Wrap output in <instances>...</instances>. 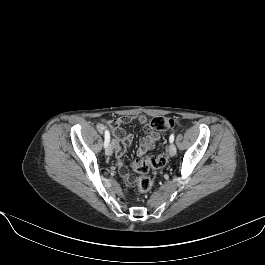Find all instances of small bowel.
<instances>
[{
	"instance_id": "1",
	"label": "small bowel",
	"mask_w": 265,
	"mask_h": 265,
	"mask_svg": "<svg viewBox=\"0 0 265 265\" xmlns=\"http://www.w3.org/2000/svg\"><path fill=\"white\" fill-rule=\"evenodd\" d=\"M132 121H139L141 123L145 122V118L140 117H121L117 120H112L109 122V126L112 129L114 135V146H115V158L118 166L119 174L126 182L130 181V175L127 168L124 165L123 157L126 152L127 147L133 141V135L126 132L122 127L124 124H128ZM99 131L104 129L103 125L98 126ZM160 139V135L152 130L148 125L144 127V136L140 139V145L137 149V155L142 156L147 152L154 149L157 141Z\"/></svg>"
}]
</instances>
